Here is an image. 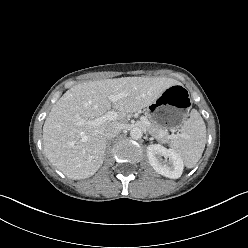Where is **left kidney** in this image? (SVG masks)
<instances>
[{"instance_id":"5707ae66","label":"left kidney","mask_w":248,"mask_h":248,"mask_svg":"<svg viewBox=\"0 0 248 248\" xmlns=\"http://www.w3.org/2000/svg\"><path fill=\"white\" fill-rule=\"evenodd\" d=\"M147 156L157 173L171 179H177L182 175L183 161L173 150L166 149L160 144H152L147 147Z\"/></svg>"}]
</instances>
